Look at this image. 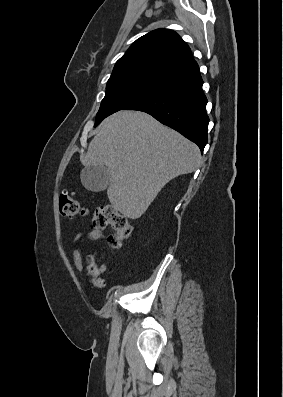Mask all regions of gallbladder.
I'll list each match as a JSON object with an SVG mask.
<instances>
[{"instance_id": "obj_1", "label": "gallbladder", "mask_w": 283, "mask_h": 397, "mask_svg": "<svg viewBox=\"0 0 283 397\" xmlns=\"http://www.w3.org/2000/svg\"><path fill=\"white\" fill-rule=\"evenodd\" d=\"M83 186L93 192L105 190L110 184V172L105 165L85 167L80 174Z\"/></svg>"}]
</instances>
